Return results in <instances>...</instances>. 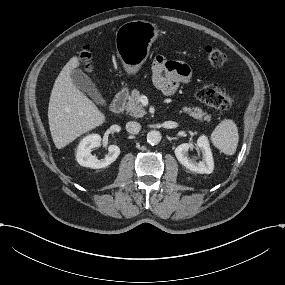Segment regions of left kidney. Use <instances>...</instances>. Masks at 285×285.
Instances as JSON below:
<instances>
[{
  "label": "left kidney",
  "instance_id": "5707ae66",
  "mask_svg": "<svg viewBox=\"0 0 285 285\" xmlns=\"http://www.w3.org/2000/svg\"><path fill=\"white\" fill-rule=\"evenodd\" d=\"M197 147L199 152L202 155V160L196 162L195 159H190L188 157V151ZM175 155L178 161L185 166L187 169L198 173V174H210L213 171L214 164L212 155L209 149V145L207 139L202 136L200 137L195 144L191 143H183L180 144L175 149Z\"/></svg>",
  "mask_w": 285,
  "mask_h": 285
}]
</instances>
